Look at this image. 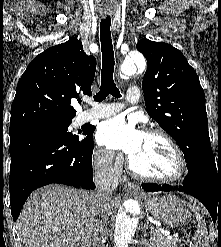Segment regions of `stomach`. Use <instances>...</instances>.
<instances>
[{"label":"stomach","mask_w":221,"mask_h":247,"mask_svg":"<svg viewBox=\"0 0 221 247\" xmlns=\"http://www.w3.org/2000/svg\"><path fill=\"white\" fill-rule=\"evenodd\" d=\"M147 210L167 227L176 228L190 216L186 202L175 195L142 198Z\"/></svg>","instance_id":"obj_1"}]
</instances>
